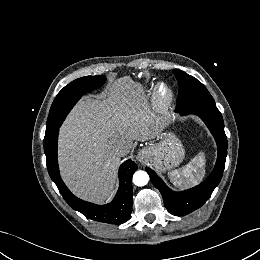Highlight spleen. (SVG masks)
<instances>
[{
  "mask_svg": "<svg viewBox=\"0 0 260 260\" xmlns=\"http://www.w3.org/2000/svg\"><path fill=\"white\" fill-rule=\"evenodd\" d=\"M205 164V154L200 152L186 166L169 172L170 181L177 188L194 186L203 180Z\"/></svg>",
  "mask_w": 260,
  "mask_h": 260,
  "instance_id": "3e777b00",
  "label": "spleen"
}]
</instances>
